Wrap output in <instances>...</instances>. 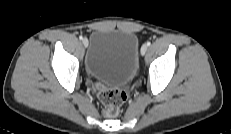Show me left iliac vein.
Returning <instances> with one entry per match:
<instances>
[{"mask_svg":"<svg viewBox=\"0 0 231 134\" xmlns=\"http://www.w3.org/2000/svg\"><path fill=\"white\" fill-rule=\"evenodd\" d=\"M147 48H148V46L146 44L142 45V47H141V55H145V53L147 52Z\"/></svg>","mask_w":231,"mask_h":134,"instance_id":"1","label":"left iliac vein"}]
</instances>
